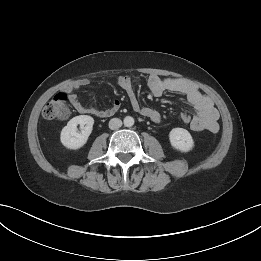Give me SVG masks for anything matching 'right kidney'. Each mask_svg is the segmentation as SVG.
Instances as JSON below:
<instances>
[{
  "instance_id": "right-kidney-1",
  "label": "right kidney",
  "mask_w": 261,
  "mask_h": 261,
  "mask_svg": "<svg viewBox=\"0 0 261 261\" xmlns=\"http://www.w3.org/2000/svg\"><path fill=\"white\" fill-rule=\"evenodd\" d=\"M94 119L88 115H79L73 117L62 129L60 140L68 149H79L84 146L93 130ZM80 125L82 131L77 132V126Z\"/></svg>"
}]
</instances>
